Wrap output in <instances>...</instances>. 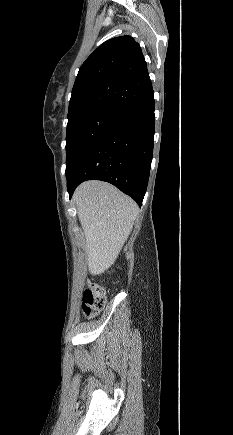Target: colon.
Here are the masks:
<instances>
[{"label": "colon", "mask_w": 233, "mask_h": 435, "mask_svg": "<svg viewBox=\"0 0 233 435\" xmlns=\"http://www.w3.org/2000/svg\"><path fill=\"white\" fill-rule=\"evenodd\" d=\"M105 305L103 288L97 283H89L82 296V313L86 317L96 316Z\"/></svg>", "instance_id": "5ec220e1"}]
</instances>
